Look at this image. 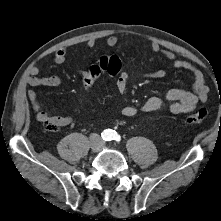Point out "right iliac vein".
<instances>
[{
  "instance_id": "right-iliac-vein-1",
  "label": "right iliac vein",
  "mask_w": 221,
  "mask_h": 221,
  "mask_svg": "<svg viewBox=\"0 0 221 221\" xmlns=\"http://www.w3.org/2000/svg\"><path fill=\"white\" fill-rule=\"evenodd\" d=\"M91 149H92L93 152H96V151H97V148H96V146H94V145H92Z\"/></svg>"
}]
</instances>
